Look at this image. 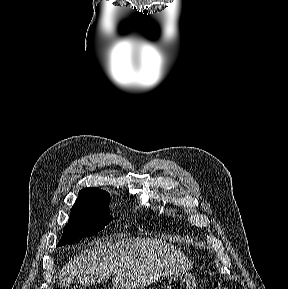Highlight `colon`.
Segmentation results:
<instances>
[{
  "label": "colon",
  "instance_id": "obj_1",
  "mask_svg": "<svg viewBox=\"0 0 288 289\" xmlns=\"http://www.w3.org/2000/svg\"><path fill=\"white\" fill-rule=\"evenodd\" d=\"M212 289H233V288L216 284V285L213 286Z\"/></svg>",
  "mask_w": 288,
  "mask_h": 289
}]
</instances>
